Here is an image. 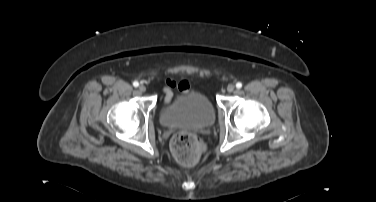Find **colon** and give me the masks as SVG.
Here are the masks:
<instances>
[{
    "label": "colon",
    "instance_id": "5ec220e1",
    "mask_svg": "<svg viewBox=\"0 0 376 202\" xmlns=\"http://www.w3.org/2000/svg\"><path fill=\"white\" fill-rule=\"evenodd\" d=\"M170 148L175 159L181 164L196 163L206 151L204 141L198 135L188 132L175 134Z\"/></svg>",
    "mask_w": 376,
    "mask_h": 202
}]
</instances>
